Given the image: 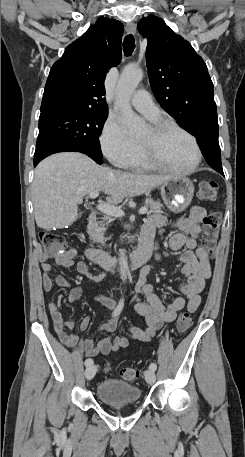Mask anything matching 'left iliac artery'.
<instances>
[{
    "label": "left iliac artery",
    "mask_w": 245,
    "mask_h": 457,
    "mask_svg": "<svg viewBox=\"0 0 245 457\" xmlns=\"http://www.w3.org/2000/svg\"><path fill=\"white\" fill-rule=\"evenodd\" d=\"M149 369L155 371V370L157 369L156 363H151V364L149 365Z\"/></svg>",
    "instance_id": "left-iliac-artery-1"
}]
</instances>
